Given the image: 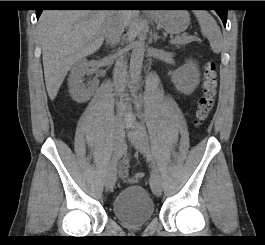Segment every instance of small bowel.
I'll return each mask as SVG.
<instances>
[{
	"label": "small bowel",
	"instance_id": "1",
	"mask_svg": "<svg viewBox=\"0 0 265 245\" xmlns=\"http://www.w3.org/2000/svg\"><path fill=\"white\" fill-rule=\"evenodd\" d=\"M127 172H128V162L124 161L119 167V174L122 178H126Z\"/></svg>",
	"mask_w": 265,
	"mask_h": 245
}]
</instances>
